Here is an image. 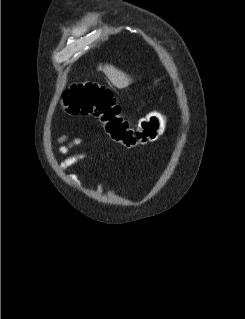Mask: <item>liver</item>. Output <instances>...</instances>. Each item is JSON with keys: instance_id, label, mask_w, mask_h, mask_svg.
I'll return each instance as SVG.
<instances>
[{"instance_id": "6515ba94", "label": "liver", "mask_w": 245, "mask_h": 319, "mask_svg": "<svg viewBox=\"0 0 245 319\" xmlns=\"http://www.w3.org/2000/svg\"><path fill=\"white\" fill-rule=\"evenodd\" d=\"M100 70L104 72L112 85L118 89H124L132 83V79L127 74L111 64H105L104 66L99 65L98 71Z\"/></svg>"}]
</instances>
